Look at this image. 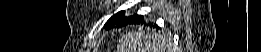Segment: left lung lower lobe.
Listing matches in <instances>:
<instances>
[{
    "label": "left lung lower lobe",
    "mask_w": 261,
    "mask_h": 52,
    "mask_svg": "<svg viewBox=\"0 0 261 52\" xmlns=\"http://www.w3.org/2000/svg\"><path fill=\"white\" fill-rule=\"evenodd\" d=\"M142 22H143V21H142V18H141V19L135 21L134 23H142ZM128 24H129V23H128Z\"/></svg>",
    "instance_id": "0a47b994"
}]
</instances>
